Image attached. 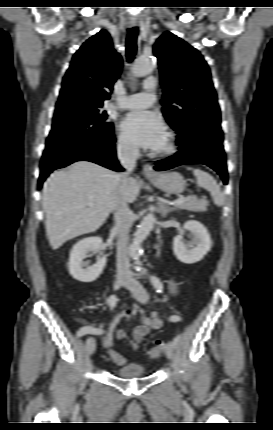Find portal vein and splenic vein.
I'll list each match as a JSON object with an SVG mask.
<instances>
[{
    "label": "portal vein and splenic vein",
    "mask_w": 273,
    "mask_h": 430,
    "mask_svg": "<svg viewBox=\"0 0 273 430\" xmlns=\"http://www.w3.org/2000/svg\"><path fill=\"white\" fill-rule=\"evenodd\" d=\"M185 200V197L181 196L180 198H178L177 200H175L174 202H167V204L169 205H179L181 204L183 201ZM89 205H93L92 203H89Z\"/></svg>",
    "instance_id": "obj_1"
}]
</instances>
